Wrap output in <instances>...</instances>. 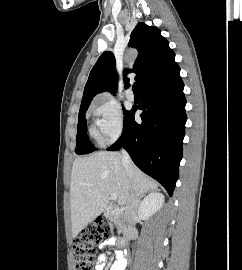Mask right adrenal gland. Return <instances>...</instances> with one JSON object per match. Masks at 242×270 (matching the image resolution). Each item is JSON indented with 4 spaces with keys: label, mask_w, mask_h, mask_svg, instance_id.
Segmentation results:
<instances>
[{
    "label": "right adrenal gland",
    "mask_w": 242,
    "mask_h": 270,
    "mask_svg": "<svg viewBox=\"0 0 242 270\" xmlns=\"http://www.w3.org/2000/svg\"><path fill=\"white\" fill-rule=\"evenodd\" d=\"M145 196V194H142L140 197H139V203L141 201V199Z\"/></svg>",
    "instance_id": "1"
}]
</instances>
